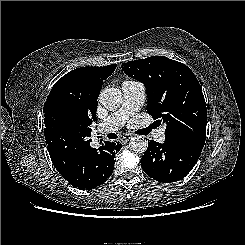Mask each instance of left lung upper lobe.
Segmentation results:
<instances>
[{"mask_svg":"<svg viewBox=\"0 0 245 245\" xmlns=\"http://www.w3.org/2000/svg\"><path fill=\"white\" fill-rule=\"evenodd\" d=\"M122 69L145 85L147 111L157 119L156 122L166 123V141L204 145L207 123L205 99L188 66L164 56H153L129 61L122 65Z\"/></svg>","mask_w":245,"mask_h":245,"instance_id":"obj_1","label":"left lung upper lobe"}]
</instances>
